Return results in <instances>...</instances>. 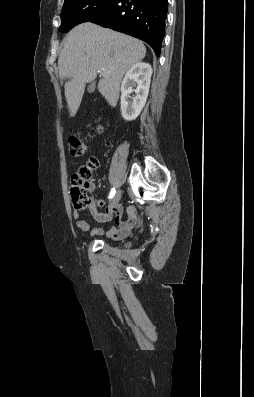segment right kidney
Returning <instances> with one entry per match:
<instances>
[{"label": "right kidney", "mask_w": 254, "mask_h": 397, "mask_svg": "<svg viewBox=\"0 0 254 397\" xmlns=\"http://www.w3.org/2000/svg\"><path fill=\"white\" fill-rule=\"evenodd\" d=\"M152 75L151 65L134 64L121 84V114L126 121L135 120L143 109L149 93ZM134 92V95H131Z\"/></svg>", "instance_id": "1"}]
</instances>
